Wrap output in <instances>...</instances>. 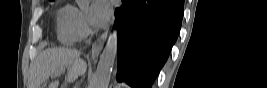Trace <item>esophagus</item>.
<instances>
[{
    "label": "esophagus",
    "mask_w": 267,
    "mask_h": 88,
    "mask_svg": "<svg viewBox=\"0 0 267 88\" xmlns=\"http://www.w3.org/2000/svg\"><path fill=\"white\" fill-rule=\"evenodd\" d=\"M108 35V29L103 32V34L92 44L91 55L92 59L96 60L104 46L105 40Z\"/></svg>",
    "instance_id": "34e87169"
}]
</instances>
